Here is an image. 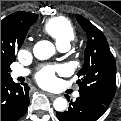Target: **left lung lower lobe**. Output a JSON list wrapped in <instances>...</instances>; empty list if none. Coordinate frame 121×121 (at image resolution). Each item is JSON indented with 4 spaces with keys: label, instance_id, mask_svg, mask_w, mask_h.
Wrapping results in <instances>:
<instances>
[{
    "label": "left lung lower lobe",
    "instance_id": "obj_1",
    "mask_svg": "<svg viewBox=\"0 0 121 121\" xmlns=\"http://www.w3.org/2000/svg\"><path fill=\"white\" fill-rule=\"evenodd\" d=\"M108 106L89 97L81 96L70 102L68 111L57 112L60 121H96L106 111Z\"/></svg>",
    "mask_w": 121,
    "mask_h": 121
}]
</instances>
